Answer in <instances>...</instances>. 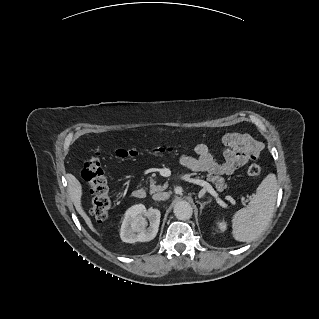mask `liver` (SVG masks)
Returning a JSON list of instances; mask_svg holds the SVG:
<instances>
[{"instance_id": "obj_1", "label": "liver", "mask_w": 319, "mask_h": 319, "mask_svg": "<svg viewBox=\"0 0 319 319\" xmlns=\"http://www.w3.org/2000/svg\"><path fill=\"white\" fill-rule=\"evenodd\" d=\"M68 187H69V192L71 195L72 202L74 203L76 210L81 215V217L84 219V221L88 225V227L93 232L99 234L96 231V229L94 228L90 217L86 214V212L84 211V209L81 205L82 186H81L80 182L75 178V176H73L71 174L68 175Z\"/></svg>"}]
</instances>
